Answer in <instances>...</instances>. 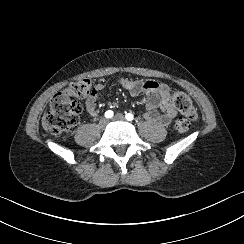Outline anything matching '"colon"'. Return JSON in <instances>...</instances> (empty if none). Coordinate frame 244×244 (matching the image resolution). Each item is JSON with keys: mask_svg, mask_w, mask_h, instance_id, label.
Returning a JSON list of instances; mask_svg holds the SVG:
<instances>
[{"mask_svg": "<svg viewBox=\"0 0 244 244\" xmlns=\"http://www.w3.org/2000/svg\"><path fill=\"white\" fill-rule=\"evenodd\" d=\"M92 82L88 78H80L69 83L52 100L45 122L56 136H64L77 128L82 107L79 99L90 94ZM172 101L181 116L175 122L178 133L186 132L197 118V111L192 100L183 92L176 91Z\"/></svg>", "mask_w": 244, "mask_h": 244, "instance_id": "1", "label": "colon"}]
</instances>
